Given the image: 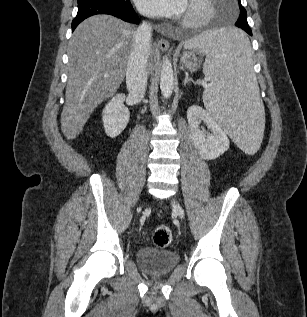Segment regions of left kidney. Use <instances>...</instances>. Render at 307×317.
<instances>
[{
    "instance_id": "1",
    "label": "left kidney",
    "mask_w": 307,
    "mask_h": 317,
    "mask_svg": "<svg viewBox=\"0 0 307 317\" xmlns=\"http://www.w3.org/2000/svg\"><path fill=\"white\" fill-rule=\"evenodd\" d=\"M187 119L194 145L203 158L212 160L228 150L230 142L226 132L206 110L198 105H192L187 110ZM201 122L210 128L211 134H205L200 130Z\"/></svg>"
}]
</instances>
